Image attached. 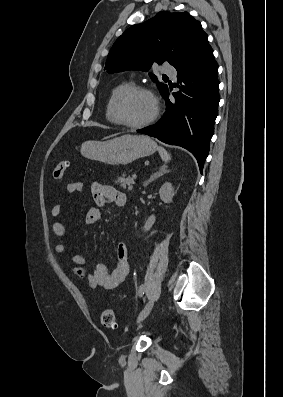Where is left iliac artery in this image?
<instances>
[{
	"label": "left iliac artery",
	"mask_w": 283,
	"mask_h": 397,
	"mask_svg": "<svg viewBox=\"0 0 283 397\" xmlns=\"http://www.w3.org/2000/svg\"><path fill=\"white\" fill-rule=\"evenodd\" d=\"M144 290H145V286L142 284V285L139 287V290H138L140 296H142V295L144 294Z\"/></svg>",
	"instance_id": "left-iliac-artery-1"
}]
</instances>
